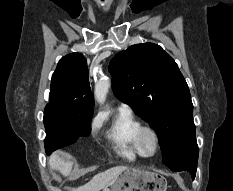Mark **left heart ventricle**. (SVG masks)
<instances>
[{"label": "left heart ventricle", "mask_w": 233, "mask_h": 191, "mask_svg": "<svg viewBox=\"0 0 233 191\" xmlns=\"http://www.w3.org/2000/svg\"><path fill=\"white\" fill-rule=\"evenodd\" d=\"M145 143H146V146L149 150H152L153 147H154V142L152 140V138L150 136H147L146 137V140H145Z\"/></svg>", "instance_id": "1"}]
</instances>
